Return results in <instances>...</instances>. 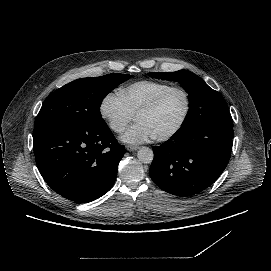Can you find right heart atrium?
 Wrapping results in <instances>:
<instances>
[{"mask_svg": "<svg viewBox=\"0 0 271 271\" xmlns=\"http://www.w3.org/2000/svg\"><path fill=\"white\" fill-rule=\"evenodd\" d=\"M98 113L109 129L117 134L123 133L133 120V115L115 91L104 94L98 105Z\"/></svg>", "mask_w": 271, "mask_h": 271, "instance_id": "obj_1", "label": "right heart atrium"}]
</instances>
